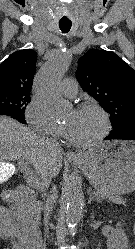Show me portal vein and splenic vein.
<instances>
[{
  "label": "portal vein and splenic vein",
  "instance_id": "1",
  "mask_svg": "<svg viewBox=\"0 0 135 249\" xmlns=\"http://www.w3.org/2000/svg\"><path fill=\"white\" fill-rule=\"evenodd\" d=\"M29 162L23 161L20 162V170L24 174V178L26 179V182L35 188H42L40 180L36 175H34L32 172L29 171ZM14 172V166L12 164H0V178H4L7 176H11ZM96 195V193H93Z\"/></svg>",
  "mask_w": 135,
  "mask_h": 249
}]
</instances>
